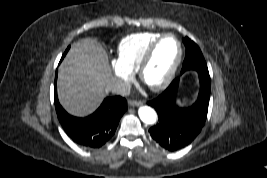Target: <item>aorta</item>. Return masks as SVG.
I'll return each mask as SVG.
<instances>
[{
	"instance_id": "aorta-1",
	"label": "aorta",
	"mask_w": 267,
	"mask_h": 178,
	"mask_svg": "<svg viewBox=\"0 0 267 178\" xmlns=\"http://www.w3.org/2000/svg\"><path fill=\"white\" fill-rule=\"evenodd\" d=\"M140 119L146 124H154L157 120V114L154 109L149 106H142L138 110Z\"/></svg>"
}]
</instances>
